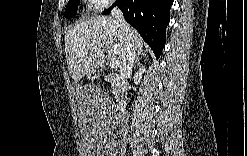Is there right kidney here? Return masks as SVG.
I'll return each mask as SVG.
<instances>
[{
	"instance_id": "right-kidney-1",
	"label": "right kidney",
	"mask_w": 247,
	"mask_h": 156,
	"mask_svg": "<svg viewBox=\"0 0 247 156\" xmlns=\"http://www.w3.org/2000/svg\"><path fill=\"white\" fill-rule=\"evenodd\" d=\"M145 67H141L134 76V83L138 85L142 79V74L145 72Z\"/></svg>"
}]
</instances>
